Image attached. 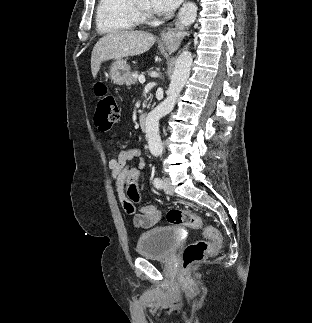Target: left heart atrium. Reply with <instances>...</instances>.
<instances>
[{
	"instance_id": "obj_1",
	"label": "left heart atrium",
	"mask_w": 312,
	"mask_h": 323,
	"mask_svg": "<svg viewBox=\"0 0 312 323\" xmlns=\"http://www.w3.org/2000/svg\"><path fill=\"white\" fill-rule=\"evenodd\" d=\"M182 2L183 0H151L148 6L149 8H157L158 12H176Z\"/></svg>"
}]
</instances>
